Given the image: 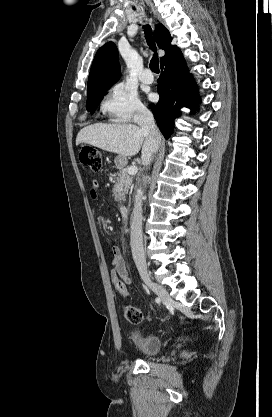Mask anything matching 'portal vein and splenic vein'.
Here are the masks:
<instances>
[{
    "mask_svg": "<svg viewBox=\"0 0 272 417\" xmlns=\"http://www.w3.org/2000/svg\"><path fill=\"white\" fill-rule=\"evenodd\" d=\"M129 175H135L138 172V167L137 166H131L128 168L127 170Z\"/></svg>",
    "mask_w": 272,
    "mask_h": 417,
    "instance_id": "portal-vein-and-splenic-vein-1",
    "label": "portal vein and splenic vein"
}]
</instances>
